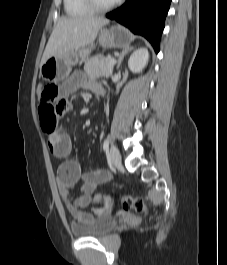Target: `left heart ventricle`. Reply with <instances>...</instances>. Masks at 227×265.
<instances>
[{"instance_id": "left-heart-ventricle-1", "label": "left heart ventricle", "mask_w": 227, "mask_h": 265, "mask_svg": "<svg viewBox=\"0 0 227 265\" xmlns=\"http://www.w3.org/2000/svg\"><path fill=\"white\" fill-rule=\"evenodd\" d=\"M115 0H97V2L100 4V5H107V4H110L111 2H113Z\"/></svg>"}]
</instances>
